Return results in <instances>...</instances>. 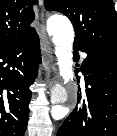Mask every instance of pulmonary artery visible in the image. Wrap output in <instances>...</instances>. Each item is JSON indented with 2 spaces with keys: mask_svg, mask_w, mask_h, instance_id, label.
<instances>
[{
  "mask_svg": "<svg viewBox=\"0 0 117 136\" xmlns=\"http://www.w3.org/2000/svg\"><path fill=\"white\" fill-rule=\"evenodd\" d=\"M81 56L84 58L85 57V53H81Z\"/></svg>",
  "mask_w": 117,
  "mask_h": 136,
  "instance_id": "e3ab8cb5",
  "label": "pulmonary artery"
}]
</instances>
